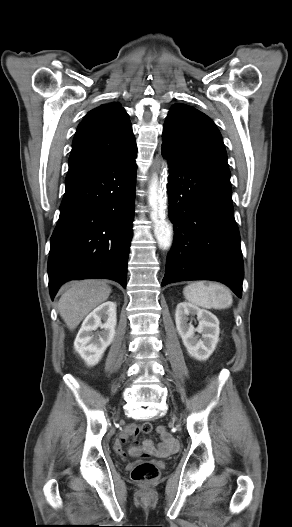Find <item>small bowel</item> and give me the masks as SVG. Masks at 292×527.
I'll list each match as a JSON object with an SVG mask.
<instances>
[{
    "instance_id": "obj_1",
    "label": "small bowel",
    "mask_w": 292,
    "mask_h": 527,
    "mask_svg": "<svg viewBox=\"0 0 292 527\" xmlns=\"http://www.w3.org/2000/svg\"><path fill=\"white\" fill-rule=\"evenodd\" d=\"M151 429H152V426L150 424V429L148 432H150ZM139 432H143L142 426L139 427L135 424H130L126 426L114 444L115 451L118 454L123 455L124 454L123 444L128 440L129 437L135 436ZM167 432H168V429L165 426V424L163 422H160L158 424L157 433L161 435V443L157 447H155L150 440H145L142 446H134L130 449V452L134 455H139L144 452L145 458L147 460H153L155 458V453L158 454V457L161 460H164V459L168 461L173 460L175 457L174 452L178 448V443Z\"/></svg>"
}]
</instances>
